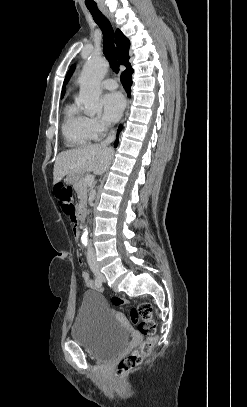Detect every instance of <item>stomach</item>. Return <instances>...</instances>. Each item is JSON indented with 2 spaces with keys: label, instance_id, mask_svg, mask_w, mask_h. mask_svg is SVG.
<instances>
[{
  "label": "stomach",
  "instance_id": "stomach-1",
  "mask_svg": "<svg viewBox=\"0 0 247 407\" xmlns=\"http://www.w3.org/2000/svg\"><path fill=\"white\" fill-rule=\"evenodd\" d=\"M81 178V176L79 175H67L65 182L67 184H74L75 182H77L79 179Z\"/></svg>",
  "mask_w": 247,
  "mask_h": 407
}]
</instances>
